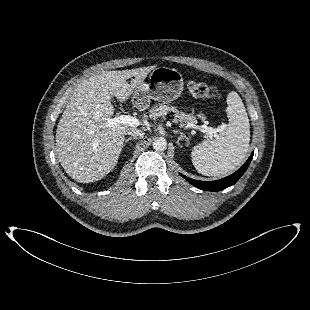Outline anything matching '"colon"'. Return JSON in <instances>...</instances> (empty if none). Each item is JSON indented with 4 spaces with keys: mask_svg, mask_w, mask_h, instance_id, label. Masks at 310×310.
Here are the masks:
<instances>
[{
    "mask_svg": "<svg viewBox=\"0 0 310 310\" xmlns=\"http://www.w3.org/2000/svg\"><path fill=\"white\" fill-rule=\"evenodd\" d=\"M187 90L191 95L200 99L217 100L221 97L217 88L194 80L188 81Z\"/></svg>",
    "mask_w": 310,
    "mask_h": 310,
    "instance_id": "1",
    "label": "colon"
}]
</instances>
